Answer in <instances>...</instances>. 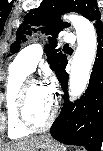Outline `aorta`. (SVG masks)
Wrapping results in <instances>:
<instances>
[{"label": "aorta", "instance_id": "762f6f07", "mask_svg": "<svg viewBox=\"0 0 103 151\" xmlns=\"http://www.w3.org/2000/svg\"><path fill=\"white\" fill-rule=\"evenodd\" d=\"M63 19L74 26L77 35V48L69 78V95L75 99L85 91L89 82L97 50V36L93 24L86 18L70 14L64 15Z\"/></svg>", "mask_w": 103, "mask_h": 151}]
</instances>
